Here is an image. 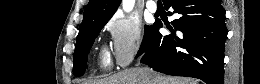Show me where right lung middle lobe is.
Here are the masks:
<instances>
[{
  "instance_id": "dd1d6c3e",
  "label": "right lung middle lobe",
  "mask_w": 260,
  "mask_h": 84,
  "mask_svg": "<svg viewBox=\"0 0 260 84\" xmlns=\"http://www.w3.org/2000/svg\"><path fill=\"white\" fill-rule=\"evenodd\" d=\"M107 21L108 20H103V21H98L93 23L90 27L84 30L77 37V43H76L74 61H73L74 62L73 71L75 76L83 75L86 69L87 55L94 42V38L97 37L100 30L107 23ZM153 29L154 27L152 26H145V34H144L143 42L137 56L142 54L149 47Z\"/></svg>"
}]
</instances>
